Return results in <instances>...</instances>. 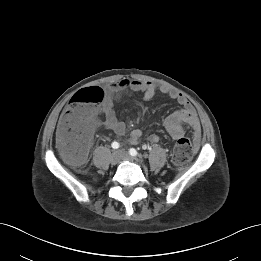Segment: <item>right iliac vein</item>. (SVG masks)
I'll use <instances>...</instances> for the list:
<instances>
[{
  "mask_svg": "<svg viewBox=\"0 0 261 261\" xmlns=\"http://www.w3.org/2000/svg\"><path fill=\"white\" fill-rule=\"evenodd\" d=\"M119 159H120L119 153L115 151L110 155L109 161L112 165H116L119 162Z\"/></svg>",
  "mask_w": 261,
  "mask_h": 261,
  "instance_id": "right-iliac-vein-1",
  "label": "right iliac vein"
}]
</instances>
